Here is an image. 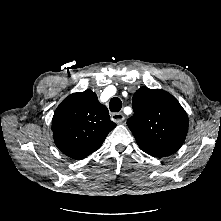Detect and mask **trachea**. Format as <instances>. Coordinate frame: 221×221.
I'll list each match as a JSON object with an SVG mask.
<instances>
[{
	"label": "trachea",
	"mask_w": 221,
	"mask_h": 221,
	"mask_svg": "<svg viewBox=\"0 0 221 221\" xmlns=\"http://www.w3.org/2000/svg\"><path fill=\"white\" fill-rule=\"evenodd\" d=\"M111 112H119L122 108V101L118 97H113L109 102Z\"/></svg>",
	"instance_id": "3493384b"
}]
</instances>
